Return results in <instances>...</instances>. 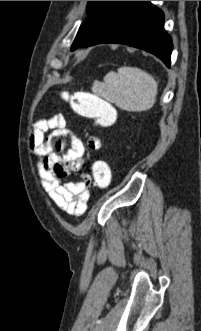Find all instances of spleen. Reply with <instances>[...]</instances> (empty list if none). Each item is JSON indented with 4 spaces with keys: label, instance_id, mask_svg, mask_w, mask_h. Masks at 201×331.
I'll return each mask as SVG.
<instances>
[{
    "label": "spleen",
    "instance_id": "obj_1",
    "mask_svg": "<svg viewBox=\"0 0 201 331\" xmlns=\"http://www.w3.org/2000/svg\"><path fill=\"white\" fill-rule=\"evenodd\" d=\"M158 84L145 71L135 67L118 68L109 72L102 83H96L95 91L120 109L132 112L146 111L156 101Z\"/></svg>",
    "mask_w": 201,
    "mask_h": 331
}]
</instances>
